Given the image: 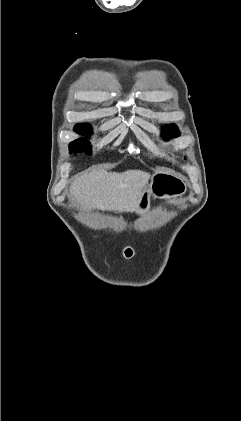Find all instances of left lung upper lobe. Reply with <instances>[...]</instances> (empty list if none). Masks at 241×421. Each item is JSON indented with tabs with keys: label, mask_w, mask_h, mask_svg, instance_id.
Listing matches in <instances>:
<instances>
[{
	"label": "left lung upper lobe",
	"mask_w": 241,
	"mask_h": 421,
	"mask_svg": "<svg viewBox=\"0 0 241 421\" xmlns=\"http://www.w3.org/2000/svg\"><path fill=\"white\" fill-rule=\"evenodd\" d=\"M162 133L164 137H178L180 135L177 126L173 124L165 126Z\"/></svg>",
	"instance_id": "5c2ea615"
}]
</instances>
